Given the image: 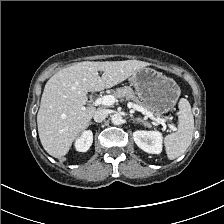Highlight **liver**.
Returning a JSON list of instances; mask_svg holds the SVG:
<instances>
[{"label": "liver", "instance_id": "liver-1", "mask_svg": "<svg viewBox=\"0 0 224 224\" xmlns=\"http://www.w3.org/2000/svg\"><path fill=\"white\" fill-rule=\"evenodd\" d=\"M149 63L139 60L84 61L64 68L46 83L37 114L38 134L45 151L55 158L65 156L85 130L95 111L87 93L111 88ZM103 72L102 76L99 73Z\"/></svg>", "mask_w": 224, "mask_h": 224}]
</instances>
